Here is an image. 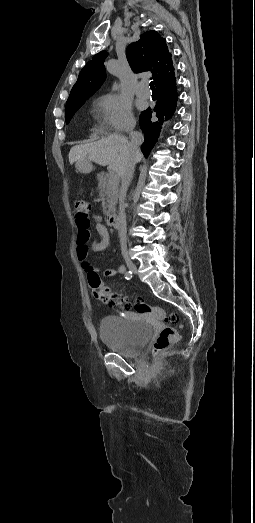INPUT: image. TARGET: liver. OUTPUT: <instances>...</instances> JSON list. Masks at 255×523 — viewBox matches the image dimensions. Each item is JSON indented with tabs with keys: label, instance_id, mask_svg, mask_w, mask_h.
Listing matches in <instances>:
<instances>
[{
	"label": "liver",
	"instance_id": "1",
	"mask_svg": "<svg viewBox=\"0 0 255 523\" xmlns=\"http://www.w3.org/2000/svg\"><path fill=\"white\" fill-rule=\"evenodd\" d=\"M129 144L130 142L124 136L107 134L98 142L73 146L69 152V162L70 164L76 162L77 170H82V168L92 170V166L88 162H95L100 166H108V170H111V172L120 174L124 168V152H126ZM134 156L136 162H141L143 156L139 150Z\"/></svg>",
	"mask_w": 255,
	"mask_h": 523
}]
</instances>
